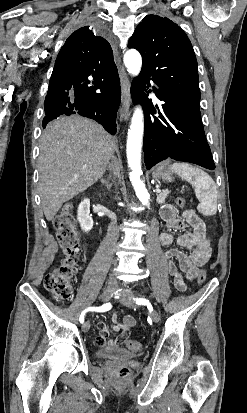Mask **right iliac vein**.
I'll return each instance as SVG.
<instances>
[{
    "label": "right iliac vein",
    "instance_id": "obj_1",
    "mask_svg": "<svg viewBox=\"0 0 247 413\" xmlns=\"http://www.w3.org/2000/svg\"><path fill=\"white\" fill-rule=\"evenodd\" d=\"M116 287L112 284H109L106 286V289L104 290L103 294L101 295L100 299L104 302H107L110 300L112 293L115 291ZM90 322L86 321L83 326L82 330L83 332H87L90 329Z\"/></svg>",
    "mask_w": 247,
    "mask_h": 413
}]
</instances>
